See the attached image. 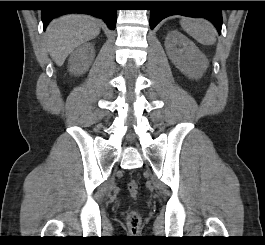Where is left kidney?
I'll use <instances>...</instances> for the list:
<instances>
[{"label": "left kidney", "mask_w": 265, "mask_h": 245, "mask_svg": "<svg viewBox=\"0 0 265 245\" xmlns=\"http://www.w3.org/2000/svg\"><path fill=\"white\" fill-rule=\"evenodd\" d=\"M165 49L170 60L189 78H201L207 69L206 56L190 39L177 30L168 33Z\"/></svg>", "instance_id": "1"}]
</instances>
